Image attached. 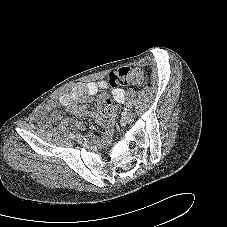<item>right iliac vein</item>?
I'll return each mask as SVG.
<instances>
[{
    "label": "right iliac vein",
    "instance_id": "1",
    "mask_svg": "<svg viewBox=\"0 0 227 227\" xmlns=\"http://www.w3.org/2000/svg\"><path fill=\"white\" fill-rule=\"evenodd\" d=\"M83 136L82 135H80V134H78V135H76L75 136V140L78 142V143H82L83 142Z\"/></svg>",
    "mask_w": 227,
    "mask_h": 227
}]
</instances>
